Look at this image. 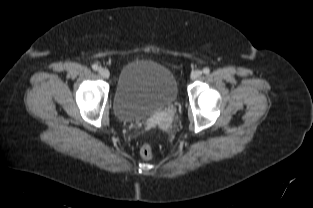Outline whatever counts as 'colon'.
Returning a JSON list of instances; mask_svg holds the SVG:
<instances>
[{"label":"colon","mask_w":313,"mask_h":208,"mask_svg":"<svg viewBox=\"0 0 313 208\" xmlns=\"http://www.w3.org/2000/svg\"><path fill=\"white\" fill-rule=\"evenodd\" d=\"M140 155L144 159H151L154 155L153 147L150 144H143L140 148Z\"/></svg>","instance_id":"colon-1"}]
</instances>
